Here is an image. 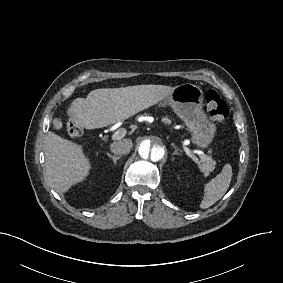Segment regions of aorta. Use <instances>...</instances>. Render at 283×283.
I'll list each match as a JSON object with an SVG mask.
<instances>
[{"label": "aorta", "instance_id": "1", "mask_svg": "<svg viewBox=\"0 0 283 283\" xmlns=\"http://www.w3.org/2000/svg\"><path fill=\"white\" fill-rule=\"evenodd\" d=\"M138 154L145 165L162 163L167 154L165 139L156 134L142 137L138 142Z\"/></svg>", "mask_w": 283, "mask_h": 283}]
</instances>
